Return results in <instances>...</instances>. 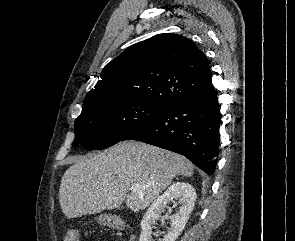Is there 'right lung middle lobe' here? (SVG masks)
Segmentation results:
<instances>
[{
  "label": "right lung middle lobe",
  "instance_id": "1",
  "mask_svg": "<svg viewBox=\"0 0 295 241\" xmlns=\"http://www.w3.org/2000/svg\"><path fill=\"white\" fill-rule=\"evenodd\" d=\"M163 109L133 101L113 91L87 95L82 112L75 120L72 145L80 144L89 150L106 149L155 118Z\"/></svg>",
  "mask_w": 295,
  "mask_h": 241
}]
</instances>
